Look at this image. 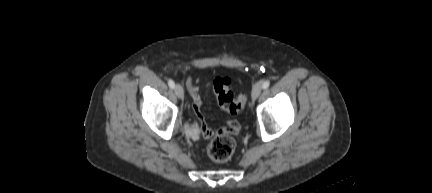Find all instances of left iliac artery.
<instances>
[{
  "label": "left iliac artery",
  "instance_id": "left-iliac-artery-1",
  "mask_svg": "<svg viewBox=\"0 0 432 193\" xmlns=\"http://www.w3.org/2000/svg\"><path fill=\"white\" fill-rule=\"evenodd\" d=\"M269 86H270V81L269 80L264 81L263 89H267Z\"/></svg>",
  "mask_w": 432,
  "mask_h": 193
}]
</instances>
